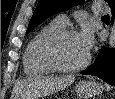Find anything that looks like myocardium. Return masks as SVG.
<instances>
[{
    "instance_id": "myocardium-1",
    "label": "myocardium",
    "mask_w": 115,
    "mask_h": 99,
    "mask_svg": "<svg viewBox=\"0 0 115 99\" xmlns=\"http://www.w3.org/2000/svg\"><path fill=\"white\" fill-rule=\"evenodd\" d=\"M73 35H79L73 29H61L50 35L41 47V56L44 62L53 70L57 72H76L85 68L91 59V54L88 52L86 58L78 65L66 66L61 64L55 54L56 47L65 38Z\"/></svg>"
}]
</instances>
